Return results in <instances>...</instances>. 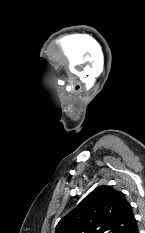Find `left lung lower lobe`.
<instances>
[{"label": "left lung lower lobe", "instance_id": "obj_1", "mask_svg": "<svg viewBox=\"0 0 145 233\" xmlns=\"http://www.w3.org/2000/svg\"><path fill=\"white\" fill-rule=\"evenodd\" d=\"M130 233H139L137 224L133 227V229L130 231Z\"/></svg>", "mask_w": 145, "mask_h": 233}]
</instances>
